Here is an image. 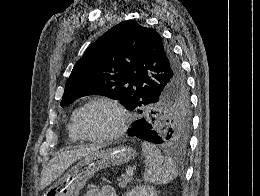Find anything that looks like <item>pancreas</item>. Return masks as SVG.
<instances>
[{
  "label": "pancreas",
  "mask_w": 260,
  "mask_h": 196,
  "mask_svg": "<svg viewBox=\"0 0 260 196\" xmlns=\"http://www.w3.org/2000/svg\"><path fill=\"white\" fill-rule=\"evenodd\" d=\"M131 178H129V176H127V174H122V176H120V178H118V186L119 188H126L127 184H129Z\"/></svg>",
  "instance_id": "cf45deb5"
}]
</instances>
